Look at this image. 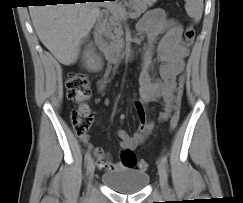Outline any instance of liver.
I'll use <instances>...</instances> for the list:
<instances>
[{"label":"liver","instance_id":"liver-1","mask_svg":"<svg viewBox=\"0 0 243 203\" xmlns=\"http://www.w3.org/2000/svg\"><path fill=\"white\" fill-rule=\"evenodd\" d=\"M100 3L31 6L35 31L44 46L63 65L76 62L79 45L100 15Z\"/></svg>","mask_w":243,"mask_h":203}]
</instances>
